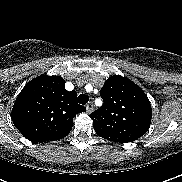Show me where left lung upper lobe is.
Instances as JSON below:
<instances>
[{"mask_svg": "<svg viewBox=\"0 0 182 182\" xmlns=\"http://www.w3.org/2000/svg\"><path fill=\"white\" fill-rule=\"evenodd\" d=\"M104 105L90 114L95 132L135 141L151 123L147 95L133 81L120 75L109 77L100 90Z\"/></svg>", "mask_w": 182, "mask_h": 182, "instance_id": "left-lung-upper-lobe-1", "label": "left lung upper lobe"}]
</instances>
